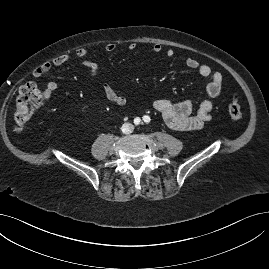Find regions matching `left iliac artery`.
<instances>
[{"mask_svg":"<svg viewBox=\"0 0 269 269\" xmlns=\"http://www.w3.org/2000/svg\"><path fill=\"white\" fill-rule=\"evenodd\" d=\"M143 120H144V122L148 123V122H150V117L149 116H144Z\"/></svg>","mask_w":269,"mask_h":269,"instance_id":"left-iliac-artery-1","label":"left iliac artery"}]
</instances>
